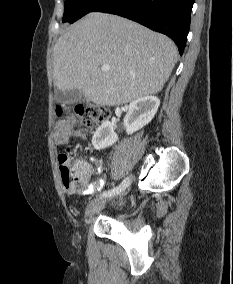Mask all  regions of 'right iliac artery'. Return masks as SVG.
<instances>
[{"label": "right iliac artery", "instance_id": "obj_1", "mask_svg": "<svg viewBox=\"0 0 233 284\" xmlns=\"http://www.w3.org/2000/svg\"><path fill=\"white\" fill-rule=\"evenodd\" d=\"M129 184H130V180H129V178L127 177V178H125V179L122 181V183H121L118 187L103 192L102 196H103V197H107V196H113V195H115V194H118L119 192L122 191V189H123L124 187H128Z\"/></svg>", "mask_w": 233, "mask_h": 284}]
</instances>
